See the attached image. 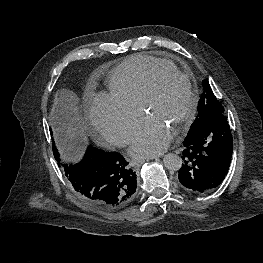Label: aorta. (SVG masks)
I'll use <instances>...</instances> for the list:
<instances>
[{
	"mask_svg": "<svg viewBox=\"0 0 263 263\" xmlns=\"http://www.w3.org/2000/svg\"><path fill=\"white\" fill-rule=\"evenodd\" d=\"M164 165L171 171H178L182 166V159L174 153H168L163 158Z\"/></svg>",
	"mask_w": 263,
	"mask_h": 263,
	"instance_id": "aorta-1",
	"label": "aorta"
}]
</instances>
